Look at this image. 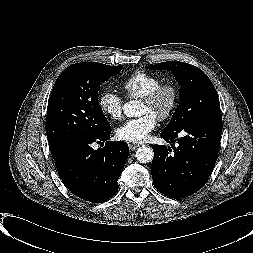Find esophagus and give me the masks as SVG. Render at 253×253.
I'll return each instance as SVG.
<instances>
[{
  "label": "esophagus",
  "mask_w": 253,
  "mask_h": 253,
  "mask_svg": "<svg viewBox=\"0 0 253 253\" xmlns=\"http://www.w3.org/2000/svg\"><path fill=\"white\" fill-rule=\"evenodd\" d=\"M128 146L131 151H134L135 149L139 147L138 144H134V143H129Z\"/></svg>",
  "instance_id": "esophagus-1"
}]
</instances>
